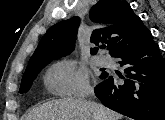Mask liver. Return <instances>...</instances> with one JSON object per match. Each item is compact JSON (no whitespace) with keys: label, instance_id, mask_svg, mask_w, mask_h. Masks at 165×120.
Returning <instances> with one entry per match:
<instances>
[{"label":"liver","instance_id":"obj_1","mask_svg":"<svg viewBox=\"0 0 165 120\" xmlns=\"http://www.w3.org/2000/svg\"><path fill=\"white\" fill-rule=\"evenodd\" d=\"M122 116L99 103L64 98L46 102L31 111L26 120H121Z\"/></svg>","mask_w":165,"mask_h":120}]
</instances>
